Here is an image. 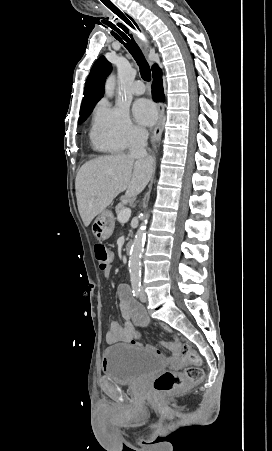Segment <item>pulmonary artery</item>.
Listing matches in <instances>:
<instances>
[{"label": "pulmonary artery", "mask_w": 272, "mask_h": 451, "mask_svg": "<svg viewBox=\"0 0 272 451\" xmlns=\"http://www.w3.org/2000/svg\"><path fill=\"white\" fill-rule=\"evenodd\" d=\"M134 86L135 87H132L130 89V93L131 94H133V95H141V94H143L144 87H143V81L141 79H136L134 81Z\"/></svg>", "instance_id": "pulmonary-artery-1"}]
</instances>
